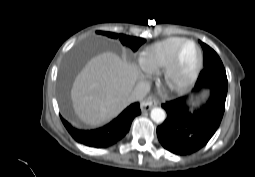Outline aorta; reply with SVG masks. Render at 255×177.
I'll return each instance as SVG.
<instances>
[{
	"label": "aorta",
	"instance_id": "obj_1",
	"mask_svg": "<svg viewBox=\"0 0 255 177\" xmlns=\"http://www.w3.org/2000/svg\"><path fill=\"white\" fill-rule=\"evenodd\" d=\"M150 116L151 119L156 123H162L166 118L165 111L158 107H155L151 110Z\"/></svg>",
	"mask_w": 255,
	"mask_h": 177
}]
</instances>
